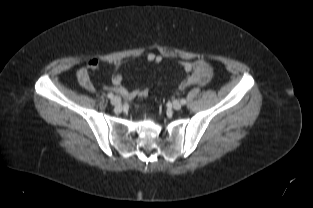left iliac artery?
<instances>
[{"instance_id":"44dca946","label":"left iliac artery","mask_w":313,"mask_h":208,"mask_svg":"<svg viewBox=\"0 0 313 208\" xmlns=\"http://www.w3.org/2000/svg\"><path fill=\"white\" fill-rule=\"evenodd\" d=\"M181 103L184 105L186 104V100L185 99H181Z\"/></svg>"}]
</instances>
